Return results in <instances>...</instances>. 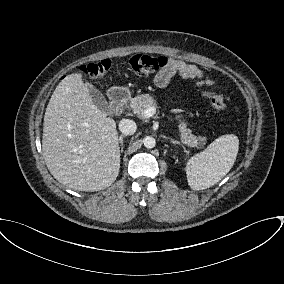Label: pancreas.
Masks as SVG:
<instances>
[{
	"label": "pancreas",
	"instance_id": "1",
	"mask_svg": "<svg viewBox=\"0 0 284 284\" xmlns=\"http://www.w3.org/2000/svg\"><path fill=\"white\" fill-rule=\"evenodd\" d=\"M129 107L139 117L144 118V110L148 107H157V102L149 94H141L130 99ZM177 119L180 122L178 127L181 141L190 147L203 148L206 144V138L193 135L191 129L187 128V123L181 120L180 116Z\"/></svg>",
	"mask_w": 284,
	"mask_h": 284
}]
</instances>
